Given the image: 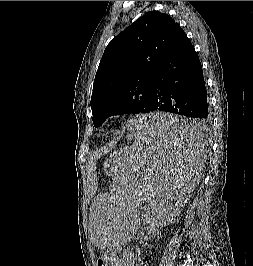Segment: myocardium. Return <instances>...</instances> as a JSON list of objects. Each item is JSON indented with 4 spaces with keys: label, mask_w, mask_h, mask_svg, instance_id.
<instances>
[{
    "label": "myocardium",
    "mask_w": 253,
    "mask_h": 266,
    "mask_svg": "<svg viewBox=\"0 0 253 266\" xmlns=\"http://www.w3.org/2000/svg\"><path fill=\"white\" fill-rule=\"evenodd\" d=\"M114 124H115L114 120L107 119V120L104 121L103 126L106 129H111L114 126Z\"/></svg>",
    "instance_id": "1"
}]
</instances>
